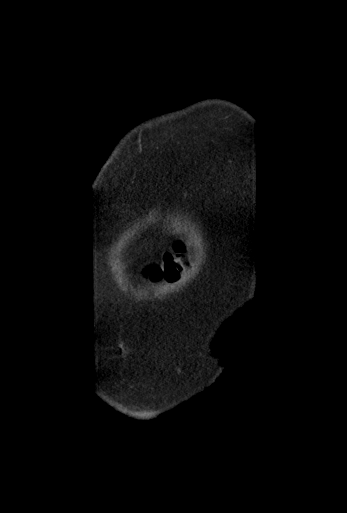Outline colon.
Masks as SVG:
<instances>
[{
  "label": "colon",
  "instance_id": "1",
  "mask_svg": "<svg viewBox=\"0 0 347 513\" xmlns=\"http://www.w3.org/2000/svg\"><path fill=\"white\" fill-rule=\"evenodd\" d=\"M148 275L153 280L165 278L168 281H173L178 276V269L172 265L166 266L164 269L154 267L149 271Z\"/></svg>",
  "mask_w": 347,
  "mask_h": 513
}]
</instances>
